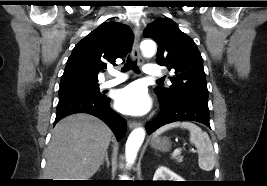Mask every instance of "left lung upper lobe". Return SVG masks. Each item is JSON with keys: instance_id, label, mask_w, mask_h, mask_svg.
<instances>
[{"instance_id": "obj_1", "label": "left lung upper lobe", "mask_w": 267, "mask_h": 186, "mask_svg": "<svg viewBox=\"0 0 267 186\" xmlns=\"http://www.w3.org/2000/svg\"><path fill=\"white\" fill-rule=\"evenodd\" d=\"M144 36L158 44L157 63L174 74L169 88L158 86L160 101H208V89L202 56L194 41L169 18H160L146 27Z\"/></svg>"}]
</instances>
